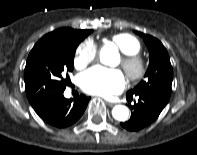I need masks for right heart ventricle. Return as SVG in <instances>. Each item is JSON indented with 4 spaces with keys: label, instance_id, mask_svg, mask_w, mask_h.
<instances>
[{
    "label": "right heart ventricle",
    "instance_id": "obj_1",
    "mask_svg": "<svg viewBox=\"0 0 197 155\" xmlns=\"http://www.w3.org/2000/svg\"><path fill=\"white\" fill-rule=\"evenodd\" d=\"M111 41L124 54H138L141 50L140 41L127 33H119L112 36Z\"/></svg>",
    "mask_w": 197,
    "mask_h": 155
}]
</instances>
